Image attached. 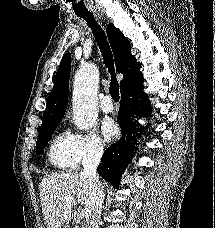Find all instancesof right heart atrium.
<instances>
[{
  "label": "right heart atrium",
  "instance_id": "right-heart-atrium-1",
  "mask_svg": "<svg viewBox=\"0 0 215 228\" xmlns=\"http://www.w3.org/2000/svg\"><path fill=\"white\" fill-rule=\"evenodd\" d=\"M78 164L101 160L105 153V144L95 131H88L75 136Z\"/></svg>",
  "mask_w": 215,
  "mask_h": 228
}]
</instances>
